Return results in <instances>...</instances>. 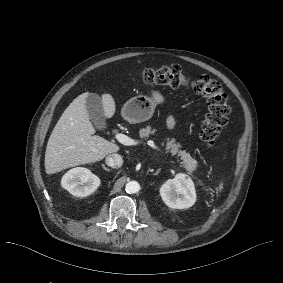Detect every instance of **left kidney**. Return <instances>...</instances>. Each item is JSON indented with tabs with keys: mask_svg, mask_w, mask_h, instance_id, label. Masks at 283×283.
<instances>
[{
	"mask_svg": "<svg viewBox=\"0 0 283 283\" xmlns=\"http://www.w3.org/2000/svg\"><path fill=\"white\" fill-rule=\"evenodd\" d=\"M160 195L165 204L173 209H187L196 201L193 181L186 174H176L160 188Z\"/></svg>",
	"mask_w": 283,
	"mask_h": 283,
	"instance_id": "1",
	"label": "left kidney"
}]
</instances>
